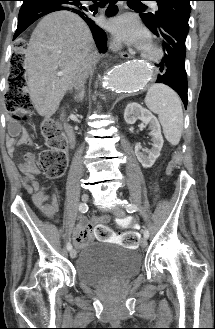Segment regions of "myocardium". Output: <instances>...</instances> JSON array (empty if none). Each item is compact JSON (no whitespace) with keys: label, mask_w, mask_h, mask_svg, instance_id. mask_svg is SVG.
I'll return each mask as SVG.
<instances>
[{"label":"myocardium","mask_w":215,"mask_h":329,"mask_svg":"<svg viewBox=\"0 0 215 329\" xmlns=\"http://www.w3.org/2000/svg\"><path fill=\"white\" fill-rule=\"evenodd\" d=\"M143 57L150 62H159L163 57V50L159 46L152 45L143 53Z\"/></svg>","instance_id":"f54148a6"}]
</instances>
